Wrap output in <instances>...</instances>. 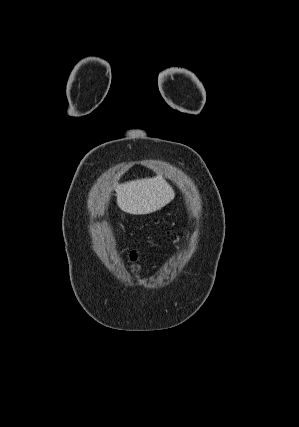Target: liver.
<instances>
[{"mask_svg": "<svg viewBox=\"0 0 299 427\" xmlns=\"http://www.w3.org/2000/svg\"><path fill=\"white\" fill-rule=\"evenodd\" d=\"M115 191L118 207L133 215L153 213L175 197L174 190L162 176L117 184Z\"/></svg>", "mask_w": 299, "mask_h": 427, "instance_id": "6515ba94", "label": "liver"}]
</instances>
